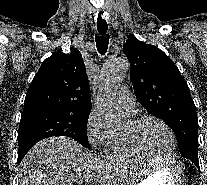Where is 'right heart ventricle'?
<instances>
[{"mask_svg": "<svg viewBox=\"0 0 207 185\" xmlns=\"http://www.w3.org/2000/svg\"><path fill=\"white\" fill-rule=\"evenodd\" d=\"M105 157L116 163H133L148 160L135 152L128 145L124 132L114 131L110 140L104 146Z\"/></svg>", "mask_w": 207, "mask_h": 185, "instance_id": "obj_1", "label": "right heart ventricle"}]
</instances>
